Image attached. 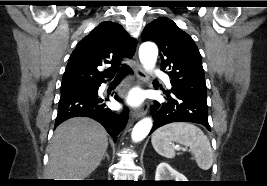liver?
Wrapping results in <instances>:
<instances>
[{
  "label": "liver",
  "mask_w": 267,
  "mask_h": 186,
  "mask_svg": "<svg viewBox=\"0 0 267 186\" xmlns=\"http://www.w3.org/2000/svg\"><path fill=\"white\" fill-rule=\"evenodd\" d=\"M107 147V132L101 124L87 117L71 118L54 132L46 177L83 180L99 166Z\"/></svg>",
  "instance_id": "liver-1"
}]
</instances>
